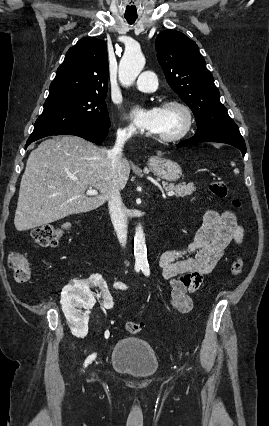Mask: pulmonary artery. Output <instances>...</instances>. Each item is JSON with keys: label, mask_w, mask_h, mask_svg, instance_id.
Returning <instances> with one entry per match:
<instances>
[{"label": "pulmonary artery", "mask_w": 269, "mask_h": 426, "mask_svg": "<svg viewBox=\"0 0 269 426\" xmlns=\"http://www.w3.org/2000/svg\"><path fill=\"white\" fill-rule=\"evenodd\" d=\"M157 87V77L152 71L142 72L135 82V88L143 92H153Z\"/></svg>", "instance_id": "obj_1"}]
</instances>
